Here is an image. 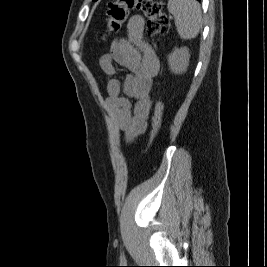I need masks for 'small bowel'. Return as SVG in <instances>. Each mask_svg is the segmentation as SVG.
Listing matches in <instances>:
<instances>
[{"instance_id": "obj_1", "label": "small bowel", "mask_w": 267, "mask_h": 267, "mask_svg": "<svg viewBox=\"0 0 267 267\" xmlns=\"http://www.w3.org/2000/svg\"><path fill=\"white\" fill-rule=\"evenodd\" d=\"M144 30V18L140 15L131 17L127 24V38L114 41L109 53L102 55L99 61L103 72L111 76L107 82V110L128 143L147 128L153 105V79L160 69L159 59L145 40ZM116 65L131 72L123 83L115 77ZM130 99L135 103L132 104Z\"/></svg>"}]
</instances>
